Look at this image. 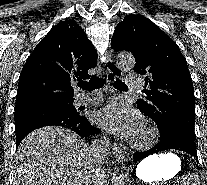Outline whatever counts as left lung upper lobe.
<instances>
[{
  "instance_id": "obj_1",
  "label": "left lung upper lobe",
  "mask_w": 207,
  "mask_h": 185,
  "mask_svg": "<svg viewBox=\"0 0 207 185\" xmlns=\"http://www.w3.org/2000/svg\"><path fill=\"white\" fill-rule=\"evenodd\" d=\"M111 47L130 51L136 60L134 71L146 75L151 90L137 100L139 110L155 121L160 132L178 127L194 140L193 83L176 43L148 18L130 14L116 26Z\"/></svg>"
}]
</instances>
